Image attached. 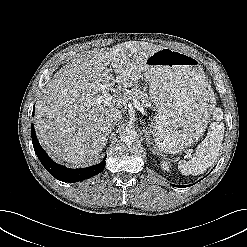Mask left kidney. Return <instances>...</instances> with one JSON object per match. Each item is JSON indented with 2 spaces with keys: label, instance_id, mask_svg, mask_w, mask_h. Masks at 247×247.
Here are the masks:
<instances>
[{
  "label": "left kidney",
  "instance_id": "1",
  "mask_svg": "<svg viewBox=\"0 0 247 247\" xmlns=\"http://www.w3.org/2000/svg\"><path fill=\"white\" fill-rule=\"evenodd\" d=\"M161 167H162L163 170L169 171L170 170V167H171L170 162L167 161V160H163L161 162Z\"/></svg>",
  "mask_w": 247,
  "mask_h": 247
}]
</instances>
